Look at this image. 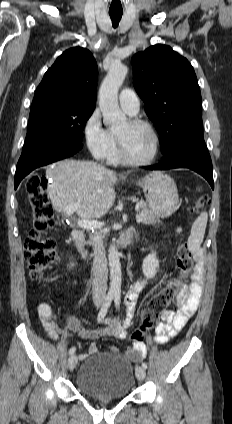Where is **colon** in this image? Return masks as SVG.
Returning <instances> with one entry per match:
<instances>
[{
    "label": "colon",
    "instance_id": "colon-1",
    "mask_svg": "<svg viewBox=\"0 0 232 424\" xmlns=\"http://www.w3.org/2000/svg\"><path fill=\"white\" fill-rule=\"evenodd\" d=\"M47 181L43 175L31 176L26 185L29 202L32 209L34 225L24 243V257L30 276L39 280L44 271L57 259V249L54 240L49 236L56 221L53 216V208L47 195ZM207 203L205 197H200L190 208L193 214L200 212ZM194 261L191 251L186 242L180 243L177 249V267L179 276L171 283L160 289L148 302L142 313V322L128 343L131 345L141 344L146 333L157 323L170 303L178 296L184 280L191 272Z\"/></svg>",
    "mask_w": 232,
    "mask_h": 424
}]
</instances>
